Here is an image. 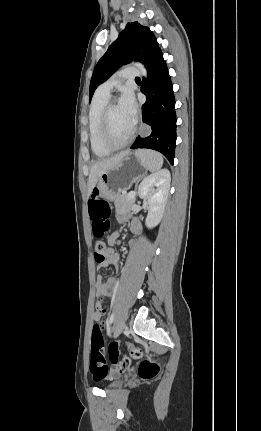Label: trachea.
Segmentation results:
<instances>
[{
	"label": "trachea",
	"instance_id": "3493384b",
	"mask_svg": "<svg viewBox=\"0 0 261 431\" xmlns=\"http://www.w3.org/2000/svg\"><path fill=\"white\" fill-rule=\"evenodd\" d=\"M136 80H140V78H136Z\"/></svg>",
	"mask_w": 261,
	"mask_h": 431
}]
</instances>
